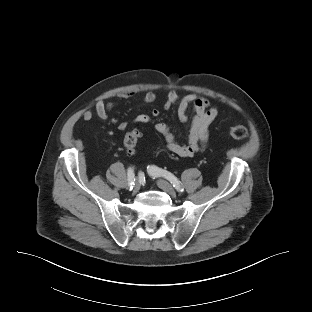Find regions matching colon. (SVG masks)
<instances>
[{
  "instance_id": "colon-1",
  "label": "colon",
  "mask_w": 312,
  "mask_h": 312,
  "mask_svg": "<svg viewBox=\"0 0 312 312\" xmlns=\"http://www.w3.org/2000/svg\"><path fill=\"white\" fill-rule=\"evenodd\" d=\"M229 134L234 139L244 140L249 136V131L243 125H233L229 128ZM140 136L141 130L138 127H134L125 135L124 147L129 155L135 154L136 145Z\"/></svg>"
}]
</instances>
